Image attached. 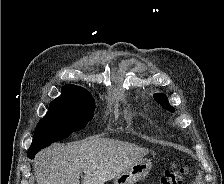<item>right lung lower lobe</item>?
Instances as JSON below:
<instances>
[{
    "mask_svg": "<svg viewBox=\"0 0 224 184\" xmlns=\"http://www.w3.org/2000/svg\"><path fill=\"white\" fill-rule=\"evenodd\" d=\"M36 153L28 151L27 157L33 159Z\"/></svg>",
    "mask_w": 224,
    "mask_h": 184,
    "instance_id": "obj_1",
    "label": "right lung lower lobe"
}]
</instances>
